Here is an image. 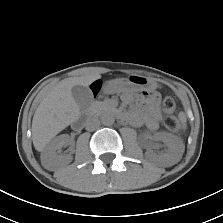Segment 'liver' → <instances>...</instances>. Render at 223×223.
<instances>
[{"label":"liver","mask_w":223,"mask_h":223,"mask_svg":"<svg viewBox=\"0 0 223 223\" xmlns=\"http://www.w3.org/2000/svg\"><path fill=\"white\" fill-rule=\"evenodd\" d=\"M100 78V74L66 78L46 95L37 107L32 120V139L37 151H44L58 133L77 120L80 108L72 97V87L75 85L87 87Z\"/></svg>","instance_id":"obj_1"}]
</instances>
